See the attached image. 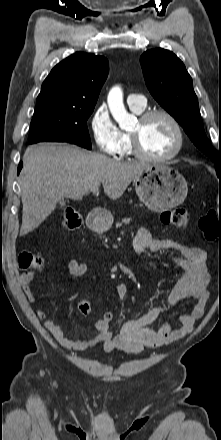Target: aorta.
Segmentation results:
<instances>
[{"label": "aorta", "mask_w": 221, "mask_h": 440, "mask_svg": "<svg viewBox=\"0 0 221 440\" xmlns=\"http://www.w3.org/2000/svg\"><path fill=\"white\" fill-rule=\"evenodd\" d=\"M107 102L113 118L120 127H127L133 122L134 117L125 109L120 87H113L110 90Z\"/></svg>", "instance_id": "1"}]
</instances>
